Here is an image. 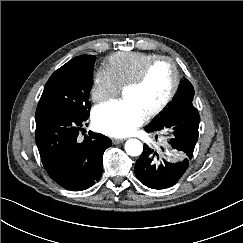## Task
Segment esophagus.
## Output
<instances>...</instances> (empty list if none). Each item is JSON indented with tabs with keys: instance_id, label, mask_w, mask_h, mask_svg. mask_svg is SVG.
Returning a JSON list of instances; mask_svg holds the SVG:
<instances>
[{
	"instance_id": "34e87169",
	"label": "esophagus",
	"mask_w": 243,
	"mask_h": 243,
	"mask_svg": "<svg viewBox=\"0 0 243 243\" xmlns=\"http://www.w3.org/2000/svg\"><path fill=\"white\" fill-rule=\"evenodd\" d=\"M123 141H124V140H122V139H117V138H113V139H112V143L115 144V145L120 144V143H122Z\"/></svg>"
}]
</instances>
